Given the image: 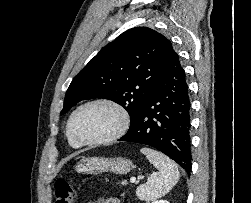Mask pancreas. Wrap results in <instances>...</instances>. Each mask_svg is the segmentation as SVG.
Masks as SVG:
<instances>
[{
	"instance_id": "pancreas-1",
	"label": "pancreas",
	"mask_w": 251,
	"mask_h": 203,
	"mask_svg": "<svg viewBox=\"0 0 251 203\" xmlns=\"http://www.w3.org/2000/svg\"><path fill=\"white\" fill-rule=\"evenodd\" d=\"M121 184L126 185V184H127V181H123Z\"/></svg>"
}]
</instances>
